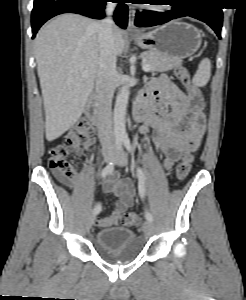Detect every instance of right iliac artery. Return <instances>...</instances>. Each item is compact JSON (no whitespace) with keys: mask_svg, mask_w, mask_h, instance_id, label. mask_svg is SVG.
Instances as JSON below:
<instances>
[{"mask_svg":"<svg viewBox=\"0 0 246 300\" xmlns=\"http://www.w3.org/2000/svg\"><path fill=\"white\" fill-rule=\"evenodd\" d=\"M122 140L119 139L117 140L116 142V145H117V157L118 155L122 152ZM114 166H115V160L109 162L104 168L103 170L101 171V177L104 179L106 178L109 174L112 173V171L114 170ZM101 212V205L100 204H97L93 210V214L94 215H97Z\"/></svg>","mask_w":246,"mask_h":300,"instance_id":"1","label":"right iliac artery"}]
</instances>
